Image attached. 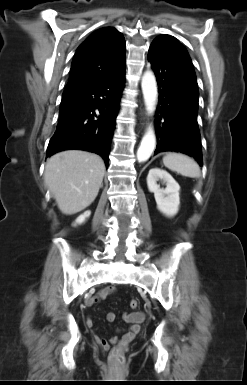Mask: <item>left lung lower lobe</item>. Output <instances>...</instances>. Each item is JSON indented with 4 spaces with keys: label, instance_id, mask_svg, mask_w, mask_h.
Returning <instances> with one entry per match:
<instances>
[{
    "label": "left lung lower lobe",
    "instance_id": "1",
    "mask_svg": "<svg viewBox=\"0 0 247 385\" xmlns=\"http://www.w3.org/2000/svg\"><path fill=\"white\" fill-rule=\"evenodd\" d=\"M148 60L155 72L159 103L156 114L157 147L154 154L175 151L193 156L202 166L197 123L199 92L192 61L178 40L157 37Z\"/></svg>",
    "mask_w": 247,
    "mask_h": 385
}]
</instances>
